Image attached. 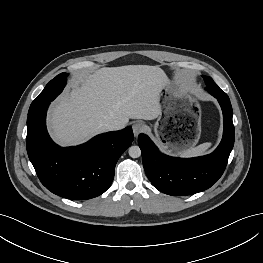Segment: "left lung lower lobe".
Segmentation results:
<instances>
[{
    "label": "left lung lower lobe",
    "mask_w": 263,
    "mask_h": 263,
    "mask_svg": "<svg viewBox=\"0 0 263 263\" xmlns=\"http://www.w3.org/2000/svg\"><path fill=\"white\" fill-rule=\"evenodd\" d=\"M209 93L217 98L224 121L222 141L211 154L186 159L170 157L162 154L147 135L138 136L146 175L165 194L191 195L204 191L218 181L226 168L235 137L232 106L222 90Z\"/></svg>",
    "instance_id": "0a47b994"
}]
</instances>
